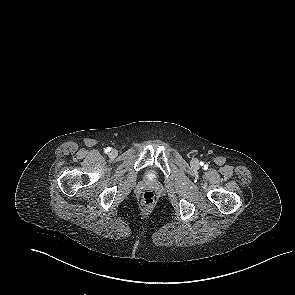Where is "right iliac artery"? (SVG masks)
<instances>
[{
	"label": "right iliac artery",
	"mask_w": 295,
	"mask_h": 295,
	"mask_svg": "<svg viewBox=\"0 0 295 295\" xmlns=\"http://www.w3.org/2000/svg\"><path fill=\"white\" fill-rule=\"evenodd\" d=\"M110 150H111V148H110V147H107V148L105 149V152L108 153V152H110Z\"/></svg>",
	"instance_id": "obj_1"
}]
</instances>
